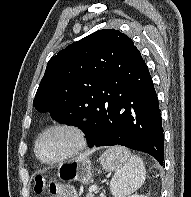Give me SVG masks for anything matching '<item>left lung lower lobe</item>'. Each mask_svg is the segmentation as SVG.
Returning <instances> with one entry per match:
<instances>
[{
	"mask_svg": "<svg viewBox=\"0 0 191 197\" xmlns=\"http://www.w3.org/2000/svg\"><path fill=\"white\" fill-rule=\"evenodd\" d=\"M84 124L90 148L123 145L148 153L163 165L161 114L148 68L123 76Z\"/></svg>",
	"mask_w": 191,
	"mask_h": 197,
	"instance_id": "left-lung-lower-lobe-1",
	"label": "left lung lower lobe"
}]
</instances>
